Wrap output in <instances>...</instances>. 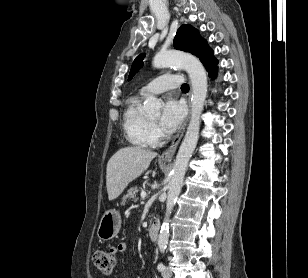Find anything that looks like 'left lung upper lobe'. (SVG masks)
<instances>
[{"label": "left lung upper lobe", "instance_id": "1", "mask_svg": "<svg viewBox=\"0 0 308 278\" xmlns=\"http://www.w3.org/2000/svg\"><path fill=\"white\" fill-rule=\"evenodd\" d=\"M174 48L190 52L201 60L206 69L215 67L218 61L213 56V51L206 41L201 38L198 31L190 25H182L174 38ZM144 54H140L133 62L128 80H131L139 68L143 65Z\"/></svg>", "mask_w": 308, "mask_h": 278}]
</instances>
